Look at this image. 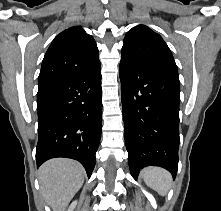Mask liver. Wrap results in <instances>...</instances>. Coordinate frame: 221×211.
Returning a JSON list of instances; mask_svg holds the SVG:
<instances>
[{
    "instance_id": "obj_1",
    "label": "liver",
    "mask_w": 221,
    "mask_h": 211,
    "mask_svg": "<svg viewBox=\"0 0 221 211\" xmlns=\"http://www.w3.org/2000/svg\"><path fill=\"white\" fill-rule=\"evenodd\" d=\"M39 183L43 198L53 211H64L82 187L85 170L74 160L55 158L39 169Z\"/></svg>"
}]
</instances>
